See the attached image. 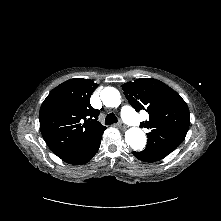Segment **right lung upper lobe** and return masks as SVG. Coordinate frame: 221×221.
Instances as JSON below:
<instances>
[{
  "label": "right lung upper lobe",
  "mask_w": 221,
  "mask_h": 221,
  "mask_svg": "<svg viewBox=\"0 0 221 221\" xmlns=\"http://www.w3.org/2000/svg\"><path fill=\"white\" fill-rule=\"evenodd\" d=\"M96 87L89 79H70L54 88L42 103L40 130L59 158L78 150L93 135L106 129L98 121L100 111L90 105Z\"/></svg>",
  "instance_id": "obj_1"
}]
</instances>
